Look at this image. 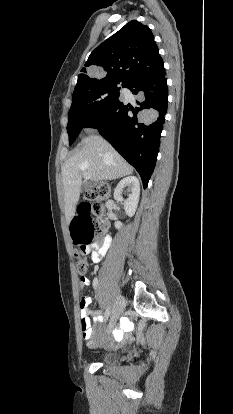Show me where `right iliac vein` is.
<instances>
[{
  "label": "right iliac vein",
  "instance_id": "1",
  "mask_svg": "<svg viewBox=\"0 0 233 414\" xmlns=\"http://www.w3.org/2000/svg\"><path fill=\"white\" fill-rule=\"evenodd\" d=\"M126 305V301L124 299V297L120 296L117 298L116 303L114 305L113 311H112V318L109 324V330H111V328L114 327L116 321L118 320V318L121 316V314L124 311Z\"/></svg>",
  "mask_w": 233,
  "mask_h": 414
}]
</instances>
